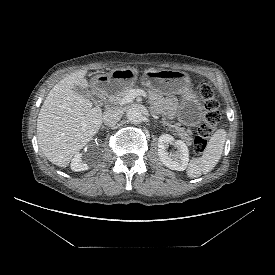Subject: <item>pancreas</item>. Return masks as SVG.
Instances as JSON below:
<instances>
[{
  "label": "pancreas",
  "mask_w": 275,
  "mask_h": 275,
  "mask_svg": "<svg viewBox=\"0 0 275 275\" xmlns=\"http://www.w3.org/2000/svg\"><path fill=\"white\" fill-rule=\"evenodd\" d=\"M132 90V87H125L122 90L112 94L109 97V101L113 104H121V101L125 98V96ZM164 125L168 126L170 130L174 132L175 135H178L183 141H185L189 146L192 145L193 139L189 135L188 131H186L183 127H180L179 123L171 124L168 121H162Z\"/></svg>",
  "instance_id": "cf45deb5"
}]
</instances>
